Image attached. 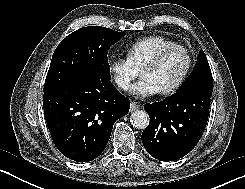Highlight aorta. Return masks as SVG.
<instances>
[{
	"instance_id": "aorta-1",
	"label": "aorta",
	"mask_w": 245,
	"mask_h": 189,
	"mask_svg": "<svg viewBox=\"0 0 245 189\" xmlns=\"http://www.w3.org/2000/svg\"><path fill=\"white\" fill-rule=\"evenodd\" d=\"M132 125L137 129H145L149 124V116L143 110H137L131 115Z\"/></svg>"
}]
</instances>
